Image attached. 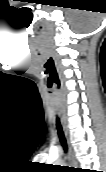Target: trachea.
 Listing matches in <instances>:
<instances>
[{
    "label": "trachea",
    "mask_w": 106,
    "mask_h": 172,
    "mask_svg": "<svg viewBox=\"0 0 106 172\" xmlns=\"http://www.w3.org/2000/svg\"><path fill=\"white\" fill-rule=\"evenodd\" d=\"M56 126H57L60 141L62 143V146H63L64 150L66 151L67 150V143H66V139H65V136H64V133H63V130H62V126H61V123H60V120H59L58 117L56 119Z\"/></svg>",
    "instance_id": "obj_1"
}]
</instances>
